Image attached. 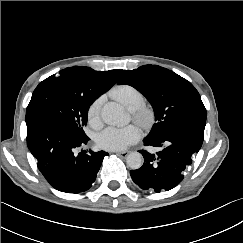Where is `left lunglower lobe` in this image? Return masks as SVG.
I'll return each instance as SVG.
<instances>
[{
    "label": "left lung lower lobe",
    "instance_id": "left-lung-lower-lobe-1",
    "mask_svg": "<svg viewBox=\"0 0 243 243\" xmlns=\"http://www.w3.org/2000/svg\"><path fill=\"white\" fill-rule=\"evenodd\" d=\"M205 124L206 111L195 112L174 122L161 138L144 139L146 146L164 148L156 154L139 150L144 157V164L130 171L134 183L143 190L157 193L176 187L202 146Z\"/></svg>",
    "mask_w": 243,
    "mask_h": 243
}]
</instances>
